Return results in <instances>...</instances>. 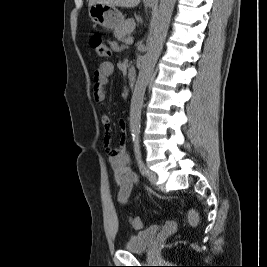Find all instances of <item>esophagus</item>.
Returning a JSON list of instances; mask_svg holds the SVG:
<instances>
[{"mask_svg": "<svg viewBox=\"0 0 267 267\" xmlns=\"http://www.w3.org/2000/svg\"><path fill=\"white\" fill-rule=\"evenodd\" d=\"M148 2H158L159 0H146Z\"/></svg>", "mask_w": 267, "mask_h": 267, "instance_id": "esophagus-1", "label": "esophagus"}]
</instances>
